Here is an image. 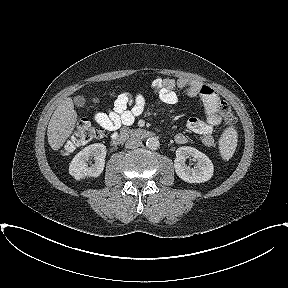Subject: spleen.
Here are the masks:
<instances>
[{
	"instance_id": "obj_1",
	"label": "spleen",
	"mask_w": 288,
	"mask_h": 288,
	"mask_svg": "<svg viewBox=\"0 0 288 288\" xmlns=\"http://www.w3.org/2000/svg\"><path fill=\"white\" fill-rule=\"evenodd\" d=\"M219 146L222 158L230 159L237 146V132L233 128L225 130L220 138Z\"/></svg>"
}]
</instances>
